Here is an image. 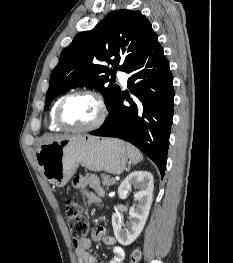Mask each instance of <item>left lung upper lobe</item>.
<instances>
[{"label": "left lung upper lobe", "mask_w": 233, "mask_h": 263, "mask_svg": "<svg viewBox=\"0 0 233 263\" xmlns=\"http://www.w3.org/2000/svg\"><path fill=\"white\" fill-rule=\"evenodd\" d=\"M156 37L141 12L126 9L112 12L94 29L79 33L62 51L51 73L45 110L65 90L86 86L102 93L110 112L121 95L118 86H104L108 81L113 83L110 74H115L117 67L126 72Z\"/></svg>", "instance_id": "left-lung-upper-lobe-1"}]
</instances>
